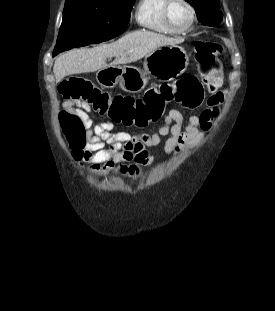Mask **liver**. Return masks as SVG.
<instances>
[{
    "label": "liver",
    "mask_w": 275,
    "mask_h": 311,
    "mask_svg": "<svg viewBox=\"0 0 275 311\" xmlns=\"http://www.w3.org/2000/svg\"><path fill=\"white\" fill-rule=\"evenodd\" d=\"M179 42L178 39L151 31H134L111 44L91 49H74L60 55L54 63L53 72L58 83L68 75L94 72L108 67L107 58H115L112 66L132 63L161 46Z\"/></svg>",
    "instance_id": "obj_1"
}]
</instances>
